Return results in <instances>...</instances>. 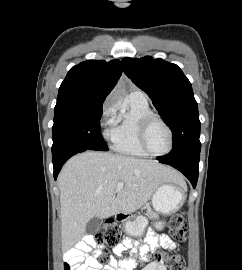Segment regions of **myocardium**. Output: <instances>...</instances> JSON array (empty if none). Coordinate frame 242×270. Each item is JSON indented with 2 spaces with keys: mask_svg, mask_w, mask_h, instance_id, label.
<instances>
[{
  "mask_svg": "<svg viewBox=\"0 0 242 270\" xmlns=\"http://www.w3.org/2000/svg\"><path fill=\"white\" fill-rule=\"evenodd\" d=\"M154 121L161 123L164 126V128L167 130V133L169 136V147L166 152L161 153V154L152 152L147 145V131L151 123ZM138 140L144 152L147 155L152 156V157H164L170 154L171 151L173 150L174 137H173V132H172L171 127L162 117L154 113L148 114L141 119L139 123V129H138Z\"/></svg>",
  "mask_w": 242,
  "mask_h": 270,
  "instance_id": "f54148a6",
  "label": "myocardium"
}]
</instances>
